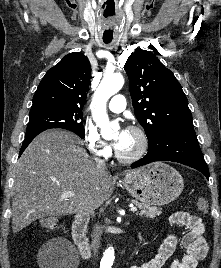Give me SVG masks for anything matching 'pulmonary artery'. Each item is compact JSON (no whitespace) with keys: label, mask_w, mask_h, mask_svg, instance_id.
I'll list each match as a JSON object with an SVG mask.
<instances>
[{"label":"pulmonary artery","mask_w":221,"mask_h":268,"mask_svg":"<svg viewBox=\"0 0 221 268\" xmlns=\"http://www.w3.org/2000/svg\"><path fill=\"white\" fill-rule=\"evenodd\" d=\"M126 107L125 97L121 94L115 95L109 102L108 108L114 113L122 112Z\"/></svg>","instance_id":"e3ab8cb5"}]
</instances>
